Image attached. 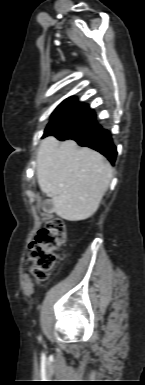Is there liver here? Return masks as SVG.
Instances as JSON below:
<instances>
[{"label": "liver", "instance_id": "6515ba94", "mask_svg": "<svg viewBox=\"0 0 145 385\" xmlns=\"http://www.w3.org/2000/svg\"><path fill=\"white\" fill-rule=\"evenodd\" d=\"M112 177V167L100 153L80 148L74 140L60 142L49 136L40 143L38 184L62 219L81 221L91 217Z\"/></svg>", "mask_w": 145, "mask_h": 385}]
</instances>
